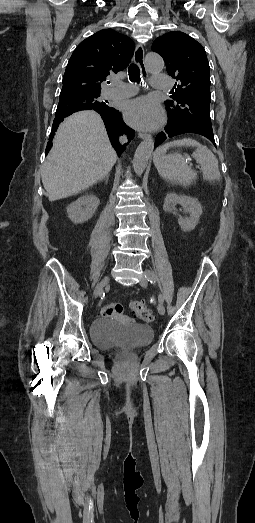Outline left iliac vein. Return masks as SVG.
Here are the masks:
<instances>
[{"mask_svg":"<svg viewBox=\"0 0 255 523\" xmlns=\"http://www.w3.org/2000/svg\"><path fill=\"white\" fill-rule=\"evenodd\" d=\"M147 271H148V270L145 271L144 276L140 279V282H139L140 285H141L142 287H144V288H146V287H147V284H148V282H147V278L145 277ZM157 309H158L159 314H161V315H164V314H165V307H164L163 303H160V302H159L158 305H157Z\"/></svg>","mask_w":255,"mask_h":523,"instance_id":"1","label":"left iliac vein"}]
</instances>
